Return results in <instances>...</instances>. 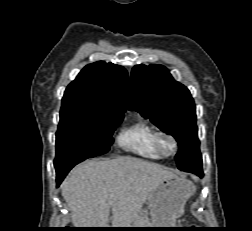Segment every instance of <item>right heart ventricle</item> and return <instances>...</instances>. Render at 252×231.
Returning a JSON list of instances; mask_svg holds the SVG:
<instances>
[{
    "mask_svg": "<svg viewBox=\"0 0 252 231\" xmlns=\"http://www.w3.org/2000/svg\"><path fill=\"white\" fill-rule=\"evenodd\" d=\"M158 130L148 121L138 118L125 126L117 136L118 146L126 152L147 159H161L155 147Z\"/></svg>",
    "mask_w": 252,
    "mask_h": 231,
    "instance_id": "1",
    "label": "right heart ventricle"
}]
</instances>
